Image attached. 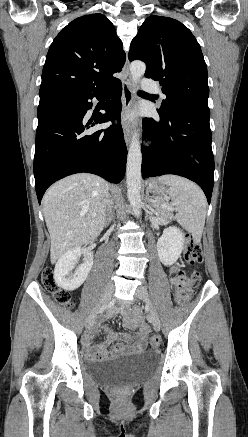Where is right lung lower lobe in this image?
Wrapping results in <instances>:
<instances>
[{
    "instance_id": "98d812e1",
    "label": "right lung lower lobe",
    "mask_w": 248,
    "mask_h": 437,
    "mask_svg": "<svg viewBox=\"0 0 248 437\" xmlns=\"http://www.w3.org/2000/svg\"><path fill=\"white\" fill-rule=\"evenodd\" d=\"M110 90L105 114L85 120L93 97ZM122 84L119 79L104 89L89 93L55 94L40 97L34 156L38 202L57 180L75 173H93L119 183L125 174L127 149L120 124L95 132L96 124L120 120Z\"/></svg>"
}]
</instances>
